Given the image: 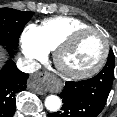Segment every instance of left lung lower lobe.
Here are the masks:
<instances>
[{
    "mask_svg": "<svg viewBox=\"0 0 117 117\" xmlns=\"http://www.w3.org/2000/svg\"><path fill=\"white\" fill-rule=\"evenodd\" d=\"M113 82L108 67L95 77L79 82H66L62 98V110L48 114V117H97L103 110Z\"/></svg>",
    "mask_w": 117,
    "mask_h": 117,
    "instance_id": "obj_1",
    "label": "left lung lower lobe"
}]
</instances>
